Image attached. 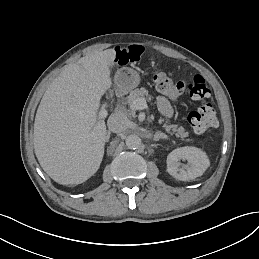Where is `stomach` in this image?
Listing matches in <instances>:
<instances>
[{
	"label": "stomach",
	"mask_w": 259,
	"mask_h": 259,
	"mask_svg": "<svg viewBox=\"0 0 259 259\" xmlns=\"http://www.w3.org/2000/svg\"><path fill=\"white\" fill-rule=\"evenodd\" d=\"M139 83L140 77L135 71L123 68L116 72L115 85L123 92L134 89Z\"/></svg>",
	"instance_id": "obj_1"
}]
</instances>
